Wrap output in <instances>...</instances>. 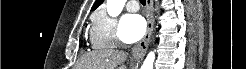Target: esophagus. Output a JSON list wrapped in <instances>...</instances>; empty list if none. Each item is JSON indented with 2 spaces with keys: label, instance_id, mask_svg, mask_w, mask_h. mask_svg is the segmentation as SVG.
Here are the masks:
<instances>
[{
  "label": "esophagus",
  "instance_id": "34e87169",
  "mask_svg": "<svg viewBox=\"0 0 246 69\" xmlns=\"http://www.w3.org/2000/svg\"><path fill=\"white\" fill-rule=\"evenodd\" d=\"M146 5H147V20H148V25H147V32L145 34V37L142 42L138 43L135 45L132 50L131 54L132 57L136 60H139L144 56V54L147 51L149 42H150V37L153 29V1L152 0H146Z\"/></svg>",
  "mask_w": 246,
  "mask_h": 69
}]
</instances>
